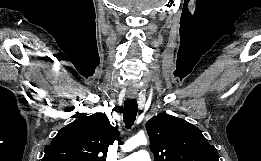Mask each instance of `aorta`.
I'll return each mask as SVG.
<instances>
[{
  "mask_svg": "<svg viewBox=\"0 0 261 161\" xmlns=\"http://www.w3.org/2000/svg\"><path fill=\"white\" fill-rule=\"evenodd\" d=\"M147 139L144 134H138L132 138H130L128 141L125 142V144L122 146V150L125 152L131 151L138 147L139 145H146Z\"/></svg>",
  "mask_w": 261,
  "mask_h": 161,
  "instance_id": "762f6f07",
  "label": "aorta"
}]
</instances>
